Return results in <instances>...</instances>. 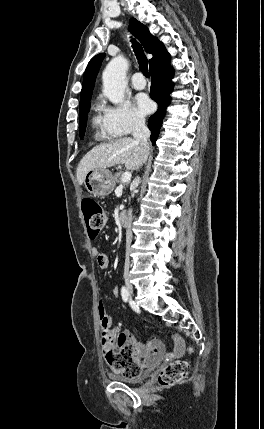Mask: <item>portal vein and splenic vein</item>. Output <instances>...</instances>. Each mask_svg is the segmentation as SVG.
<instances>
[{"label": "portal vein and splenic vein", "instance_id": "portal-vein-and-splenic-vein-1", "mask_svg": "<svg viewBox=\"0 0 264 429\" xmlns=\"http://www.w3.org/2000/svg\"><path fill=\"white\" fill-rule=\"evenodd\" d=\"M131 176H132L131 172L129 171L124 172L121 178L122 183L129 182L131 180Z\"/></svg>", "mask_w": 264, "mask_h": 429}]
</instances>
